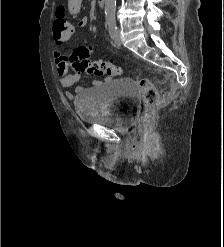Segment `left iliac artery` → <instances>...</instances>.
Segmentation results:
<instances>
[{"mask_svg": "<svg viewBox=\"0 0 224 247\" xmlns=\"http://www.w3.org/2000/svg\"><path fill=\"white\" fill-rule=\"evenodd\" d=\"M108 27H109V34L111 38L114 37V34L117 30V24L115 18H109L108 19Z\"/></svg>", "mask_w": 224, "mask_h": 247, "instance_id": "44dca946", "label": "left iliac artery"}]
</instances>
